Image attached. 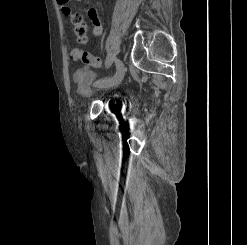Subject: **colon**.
<instances>
[{
	"mask_svg": "<svg viewBox=\"0 0 247 245\" xmlns=\"http://www.w3.org/2000/svg\"><path fill=\"white\" fill-rule=\"evenodd\" d=\"M70 21L74 26V31L77 36V39L80 43H87L88 41V36H87V31L88 27L87 24L84 20V17L82 14L74 12L71 13L70 15Z\"/></svg>",
	"mask_w": 247,
	"mask_h": 245,
	"instance_id": "obj_1",
	"label": "colon"
}]
</instances>
